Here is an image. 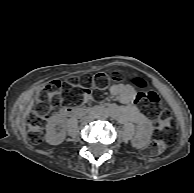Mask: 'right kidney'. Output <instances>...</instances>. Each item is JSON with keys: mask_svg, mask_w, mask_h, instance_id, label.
Returning <instances> with one entry per match:
<instances>
[{"mask_svg": "<svg viewBox=\"0 0 194 193\" xmlns=\"http://www.w3.org/2000/svg\"><path fill=\"white\" fill-rule=\"evenodd\" d=\"M62 121L60 120L58 115L51 116L48 119L47 125H46V142H48L51 145H58L61 144L65 137V131L60 129L59 132H57V126L60 125L62 127Z\"/></svg>", "mask_w": 194, "mask_h": 193, "instance_id": "1", "label": "right kidney"}]
</instances>
